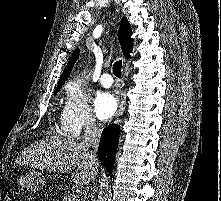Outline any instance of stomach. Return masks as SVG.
<instances>
[{"mask_svg":"<svg viewBox=\"0 0 221 201\" xmlns=\"http://www.w3.org/2000/svg\"><path fill=\"white\" fill-rule=\"evenodd\" d=\"M16 183L19 187H21V189L37 192L43 188L45 180L40 172L30 171L25 175H19L16 179Z\"/></svg>","mask_w":221,"mask_h":201,"instance_id":"stomach-1","label":"stomach"}]
</instances>
